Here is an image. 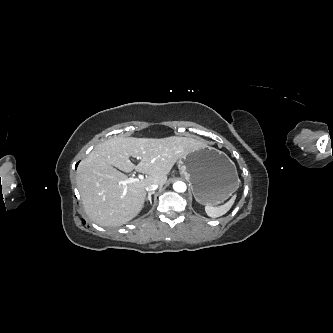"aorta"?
Wrapping results in <instances>:
<instances>
[{"label":"aorta","mask_w":333,"mask_h":333,"mask_svg":"<svg viewBox=\"0 0 333 333\" xmlns=\"http://www.w3.org/2000/svg\"><path fill=\"white\" fill-rule=\"evenodd\" d=\"M186 184L184 182H176L173 184V189L176 191V192H185L186 191Z\"/></svg>","instance_id":"aorta-1"}]
</instances>
